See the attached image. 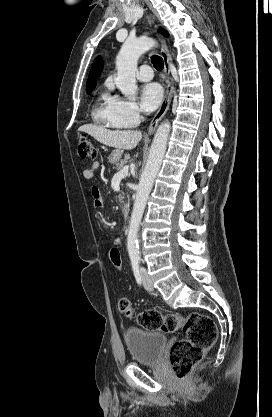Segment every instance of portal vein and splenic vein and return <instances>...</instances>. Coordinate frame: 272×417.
<instances>
[{"mask_svg": "<svg viewBox=\"0 0 272 417\" xmlns=\"http://www.w3.org/2000/svg\"><path fill=\"white\" fill-rule=\"evenodd\" d=\"M129 166H124L117 174L121 176L128 175Z\"/></svg>", "mask_w": 272, "mask_h": 417, "instance_id": "1", "label": "portal vein and splenic vein"}]
</instances>
